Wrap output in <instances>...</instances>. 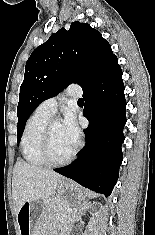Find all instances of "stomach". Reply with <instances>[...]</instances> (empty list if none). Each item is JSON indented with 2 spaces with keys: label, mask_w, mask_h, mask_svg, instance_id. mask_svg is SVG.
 <instances>
[{
  "label": "stomach",
  "mask_w": 155,
  "mask_h": 235,
  "mask_svg": "<svg viewBox=\"0 0 155 235\" xmlns=\"http://www.w3.org/2000/svg\"><path fill=\"white\" fill-rule=\"evenodd\" d=\"M67 206H79L85 203V196L81 189L72 181L60 180L57 185V196ZM46 212L45 203L27 201L17 214L19 235H42L40 224Z\"/></svg>",
  "instance_id": "obj_1"
}]
</instances>
